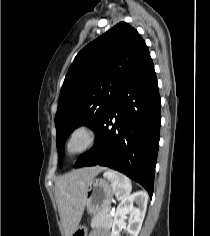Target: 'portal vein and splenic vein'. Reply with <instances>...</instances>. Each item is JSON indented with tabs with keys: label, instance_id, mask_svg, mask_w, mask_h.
<instances>
[{
	"label": "portal vein and splenic vein",
	"instance_id": "portal-vein-and-splenic-vein-1",
	"mask_svg": "<svg viewBox=\"0 0 210 236\" xmlns=\"http://www.w3.org/2000/svg\"><path fill=\"white\" fill-rule=\"evenodd\" d=\"M110 214L113 215V214H114V210H112V211L110 212Z\"/></svg>",
	"mask_w": 210,
	"mask_h": 236
}]
</instances>
